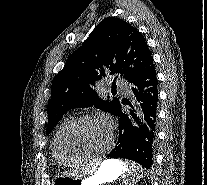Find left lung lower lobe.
Returning a JSON list of instances; mask_svg holds the SVG:
<instances>
[{"instance_id":"obj_1","label":"left lung lower lobe","mask_w":207,"mask_h":185,"mask_svg":"<svg viewBox=\"0 0 207 185\" xmlns=\"http://www.w3.org/2000/svg\"><path fill=\"white\" fill-rule=\"evenodd\" d=\"M135 104L122 99L128 113L121 111L119 117V138L115 148L106 156L126 158L138 162L147 169L153 164L157 138V76L152 64L144 73L131 82Z\"/></svg>"}]
</instances>
